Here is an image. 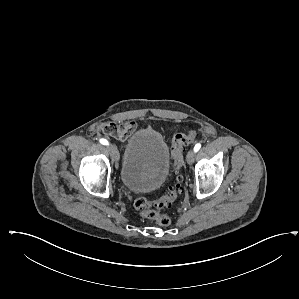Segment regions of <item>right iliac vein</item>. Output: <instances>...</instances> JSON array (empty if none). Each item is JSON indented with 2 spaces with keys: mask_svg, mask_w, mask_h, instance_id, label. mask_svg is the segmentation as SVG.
<instances>
[{
  "mask_svg": "<svg viewBox=\"0 0 299 299\" xmlns=\"http://www.w3.org/2000/svg\"><path fill=\"white\" fill-rule=\"evenodd\" d=\"M109 151H110L113 162L118 163V161H119V152H118L116 146L111 144L109 146Z\"/></svg>",
  "mask_w": 299,
  "mask_h": 299,
  "instance_id": "1",
  "label": "right iliac vein"
}]
</instances>
